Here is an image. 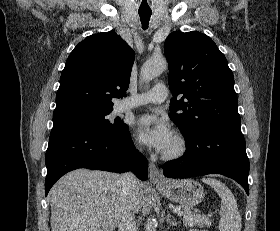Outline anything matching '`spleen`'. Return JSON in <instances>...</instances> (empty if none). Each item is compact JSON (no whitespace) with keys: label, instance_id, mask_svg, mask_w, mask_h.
<instances>
[{"label":"spleen","instance_id":"spleen-1","mask_svg":"<svg viewBox=\"0 0 280 231\" xmlns=\"http://www.w3.org/2000/svg\"><path fill=\"white\" fill-rule=\"evenodd\" d=\"M202 181L214 187L215 191L219 193V197H221L220 231H241V215L238 211L237 201L229 187L224 185L219 179H211V177H203Z\"/></svg>","mask_w":280,"mask_h":231}]
</instances>
